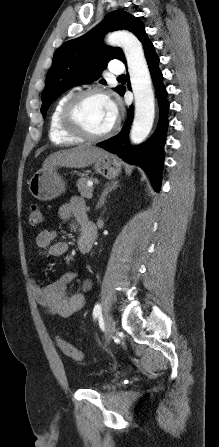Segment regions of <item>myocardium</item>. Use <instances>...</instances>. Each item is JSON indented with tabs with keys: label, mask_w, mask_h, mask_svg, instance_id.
Masks as SVG:
<instances>
[{
	"label": "myocardium",
	"mask_w": 219,
	"mask_h": 447,
	"mask_svg": "<svg viewBox=\"0 0 219 447\" xmlns=\"http://www.w3.org/2000/svg\"><path fill=\"white\" fill-rule=\"evenodd\" d=\"M92 97L108 99L99 89L85 90L72 95L65 103L61 112L62 127L70 134L87 141H99L110 137L117 129V122L110 129L102 133L90 132L79 120L78 112L83 103Z\"/></svg>",
	"instance_id": "myocardium-1"
}]
</instances>
